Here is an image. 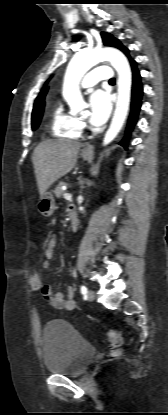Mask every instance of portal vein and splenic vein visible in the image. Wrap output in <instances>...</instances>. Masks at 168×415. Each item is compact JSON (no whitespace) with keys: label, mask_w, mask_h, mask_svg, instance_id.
I'll return each instance as SVG.
<instances>
[{"label":"portal vein and splenic vein","mask_w":168,"mask_h":415,"mask_svg":"<svg viewBox=\"0 0 168 415\" xmlns=\"http://www.w3.org/2000/svg\"><path fill=\"white\" fill-rule=\"evenodd\" d=\"M63 197L65 199H71L72 198V194H70V193H64Z\"/></svg>","instance_id":"obj_1"}]
</instances>
